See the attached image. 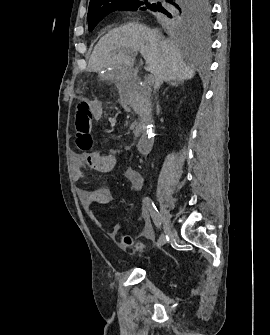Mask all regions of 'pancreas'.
Instances as JSON below:
<instances>
[{
	"label": "pancreas",
	"instance_id": "1",
	"mask_svg": "<svg viewBox=\"0 0 270 335\" xmlns=\"http://www.w3.org/2000/svg\"><path fill=\"white\" fill-rule=\"evenodd\" d=\"M134 126H135V130L133 132L135 138H138L139 134H140V130H139V126L137 124V122H134Z\"/></svg>",
	"mask_w": 270,
	"mask_h": 335
}]
</instances>
